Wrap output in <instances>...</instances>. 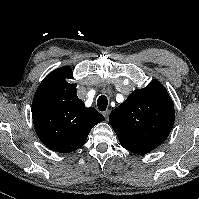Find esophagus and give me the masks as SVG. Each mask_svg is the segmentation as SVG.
I'll return each instance as SVG.
<instances>
[{
	"label": "esophagus",
	"instance_id": "1",
	"mask_svg": "<svg viewBox=\"0 0 199 199\" xmlns=\"http://www.w3.org/2000/svg\"><path fill=\"white\" fill-rule=\"evenodd\" d=\"M109 114H110V111H109V110H106V111L103 112V115H104V117H105L106 119H108Z\"/></svg>",
	"mask_w": 199,
	"mask_h": 199
}]
</instances>
